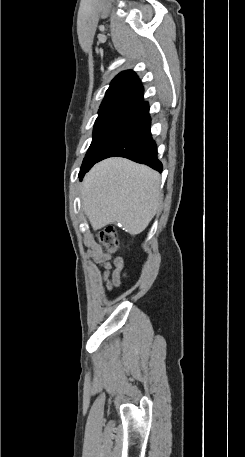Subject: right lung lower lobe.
<instances>
[{
	"label": "right lung lower lobe",
	"mask_w": 245,
	"mask_h": 457,
	"mask_svg": "<svg viewBox=\"0 0 245 457\" xmlns=\"http://www.w3.org/2000/svg\"><path fill=\"white\" fill-rule=\"evenodd\" d=\"M150 121L148 103L141 102L129 112L96 162L120 156L144 163L161 172L162 164L157 159V147L150 133Z\"/></svg>",
	"instance_id": "obj_1"
}]
</instances>
